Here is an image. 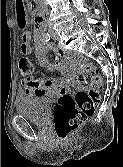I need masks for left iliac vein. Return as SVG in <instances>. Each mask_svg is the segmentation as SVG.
<instances>
[{"mask_svg":"<svg viewBox=\"0 0 123 167\" xmlns=\"http://www.w3.org/2000/svg\"><path fill=\"white\" fill-rule=\"evenodd\" d=\"M49 32H50V34H51V36H52V39H53L54 41H57V40L59 39L58 34H57L54 30H50Z\"/></svg>","mask_w":123,"mask_h":167,"instance_id":"obj_1","label":"left iliac vein"}]
</instances>
